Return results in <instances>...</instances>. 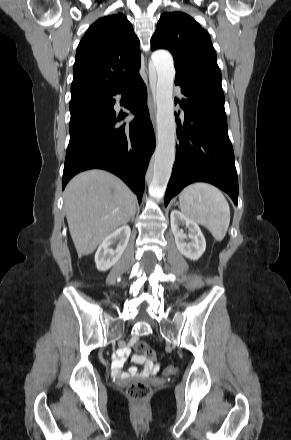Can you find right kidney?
I'll list each match as a JSON object with an SVG mask.
<instances>
[{
	"mask_svg": "<svg viewBox=\"0 0 291 440\" xmlns=\"http://www.w3.org/2000/svg\"><path fill=\"white\" fill-rule=\"evenodd\" d=\"M131 234L128 225H124L107 236L98 247L95 263L99 271L110 269L123 254ZM116 245L115 248L112 246Z\"/></svg>",
	"mask_w": 291,
	"mask_h": 440,
	"instance_id": "right-kidney-1",
	"label": "right kidney"
}]
</instances>
